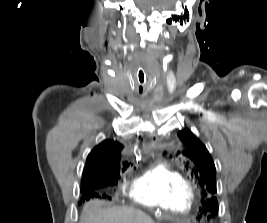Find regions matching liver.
Here are the masks:
<instances>
[{
  "mask_svg": "<svg viewBox=\"0 0 267 223\" xmlns=\"http://www.w3.org/2000/svg\"><path fill=\"white\" fill-rule=\"evenodd\" d=\"M80 223H154L150 216L133 207L104 208L99 201L87 203Z\"/></svg>",
  "mask_w": 267,
  "mask_h": 223,
  "instance_id": "obj_1",
  "label": "liver"
}]
</instances>
